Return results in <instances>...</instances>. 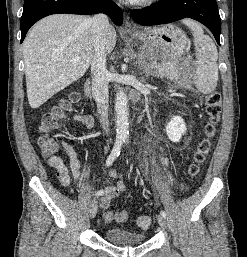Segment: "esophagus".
Here are the masks:
<instances>
[{
  "label": "esophagus",
  "mask_w": 247,
  "mask_h": 257,
  "mask_svg": "<svg viewBox=\"0 0 247 257\" xmlns=\"http://www.w3.org/2000/svg\"><path fill=\"white\" fill-rule=\"evenodd\" d=\"M124 30L126 32H136L137 28L131 22H129L128 20H125Z\"/></svg>",
  "instance_id": "obj_1"
}]
</instances>
